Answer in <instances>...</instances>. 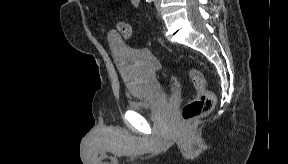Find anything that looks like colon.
Segmentation results:
<instances>
[{
    "instance_id": "1",
    "label": "colon",
    "mask_w": 288,
    "mask_h": 164,
    "mask_svg": "<svg viewBox=\"0 0 288 164\" xmlns=\"http://www.w3.org/2000/svg\"><path fill=\"white\" fill-rule=\"evenodd\" d=\"M118 30L121 34L130 38L131 26L127 21L118 22ZM187 75L197 90V95L188 100L182 107V120H195V118L210 113L215 106V95L208 88L207 78L196 69H189Z\"/></svg>"
}]
</instances>
